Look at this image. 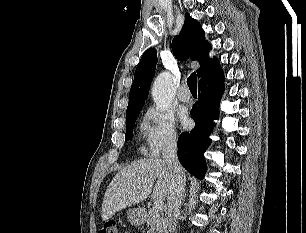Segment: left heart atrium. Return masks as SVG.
Segmentation results:
<instances>
[{"instance_id": "1", "label": "left heart atrium", "mask_w": 306, "mask_h": 233, "mask_svg": "<svg viewBox=\"0 0 306 233\" xmlns=\"http://www.w3.org/2000/svg\"><path fill=\"white\" fill-rule=\"evenodd\" d=\"M180 121L184 128H187L189 126L190 121L186 115L182 114L180 116Z\"/></svg>"}]
</instances>
